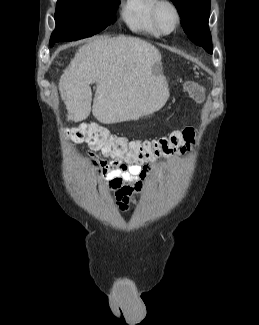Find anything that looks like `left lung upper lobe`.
I'll return each mask as SVG.
<instances>
[{"instance_id":"obj_1","label":"left lung upper lobe","mask_w":259,"mask_h":325,"mask_svg":"<svg viewBox=\"0 0 259 325\" xmlns=\"http://www.w3.org/2000/svg\"><path fill=\"white\" fill-rule=\"evenodd\" d=\"M182 19V27L191 41L212 53L208 28L210 0H171Z\"/></svg>"}]
</instances>
